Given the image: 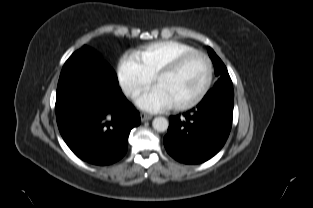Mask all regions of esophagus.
Masks as SVG:
<instances>
[{
  "label": "esophagus",
  "mask_w": 313,
  "mask_h": 208,
  "mask_svg": "<svg viewBox=\"0 0 313 208\" xmlns=\"http://www.w3.org/2000/svg\"><path fill=\"white\" fill-rule=\"evenodd\" d=\"M140 117H141V120H142L143 122L152 119V115L147 114V113H141V114H140Z\"/></svg>",
  "instance_id": "obj_1"
}]
</instances>
